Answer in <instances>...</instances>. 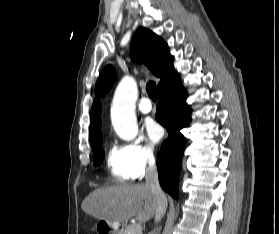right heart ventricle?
Segmentation results:
<instances>
[{"label":"right heart ventricle","instance_id":"e07e8e85","mask_svg":"<svg viewBox=\"0 0 279 234\" xmlns=\"http://www.w3.org/2000/svg\"><path fill=\"white\" fill-rule=\"evenodd\" d=\"M106 161L109 172L117 181L124 182L134 179L125 148L111 146Z\"/></svg>","mask_w":279,"mask_h":234}]
</instances>
